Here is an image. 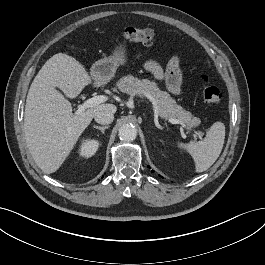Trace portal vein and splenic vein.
Wrapping results in <instances>:
<instances>
[{"label": "portal vein and splenic vein", "mask_w": 265, "mask_h": 265, "mask_svg": "<svg viewBox=\"0 0 265 265\" xmlns=\"http://www.w3.org/2000/svg\"><path fill=\"white\" fill-rule=\"evenodd\" d=\"M107 100H108V97L105 95H98V96L89 98L83 104L78 106L77 113H81L85 111L87 108L94 107L96 105L106 102ZM168 121L172 124H182V121L178 119H174V118H168ZM199 134L201 133L199 132Z\"/></svg>", "instance_id": "1"}]
</instances>
